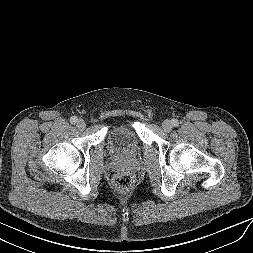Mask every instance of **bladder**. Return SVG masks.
Instances as JSON below:
<instances>
[{"label": "bladder", "instance_id": "bladder-1", "mask_svg": "<svg viewBox=\"0 0 253 253\" xmlns=\"http://www.w3.org/2000/svg\"><path fill=\"white\" fill-rule=\"evenodd\" d=\"M107 147L116 157H132L140 147L136 129L129 124L116 123L107 132Z\"/></svg>", "mask_w": 253, "mask_h": 253}]
</instances>
